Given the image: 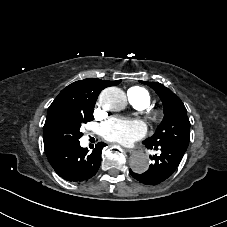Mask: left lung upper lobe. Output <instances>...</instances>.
Returning a JSON list of instances; mask_svg holds the SVG:
<instances>
[{
	"label": "left lung upper lobe",
	"instance_id": "5c2ea615",
	"mask_svg": "<svg viewBox=\"0 0 227 227\" xmlns=\"http://www.w3.org/2000/svg\"><path fill=\"white\" fill-rule=\"evenodd\" d=\"M153 88L159 95L164 107V119L154 135L143 143H167L186 150L190 141V122L187 110L169 88L156 82L139 81Z\"/></svg>",
	"mask_w": 227,
	"mask_h": 227
}]
</instances>
